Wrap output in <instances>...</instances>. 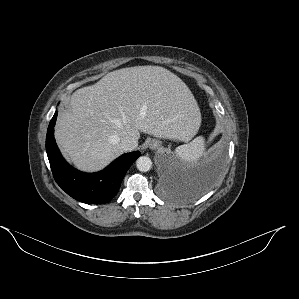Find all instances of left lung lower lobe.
<instances>
[{"label": "left lung lower lobe", "instance_id": "1", "mask_svg": "<svg viewBox=\"0 0 299 299\" xmlns=\"http://www.w3.org/2000/svg\"><path fill=\"white\" fill-rule=\"evenodd\" d=\"M221 166V157H213L204 161L196 169L195 173L190 175L192 189L197 193H202L210 189L219 176Z\"/></svg>", "mask_w": 299, "mask_h": 299}]
</instances>
